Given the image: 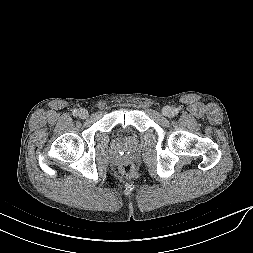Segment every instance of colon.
Here are the masks:
<instances>
[{"instance_id":"5ec220e1","label":"colon","mask_w":253,"mask_h":253,"mask_svg":"<svg viewBox=\"0 0 253 253\" xmlns=\"http://www.w3.org/2000/svg\"><path fill=\"white\" fill-rule=\"evenodd\" d=\"M120 173L124 177H131L134 174V167H133V165L130 164V163H124L120 167Z\"/></svg>"}]
</instances>
